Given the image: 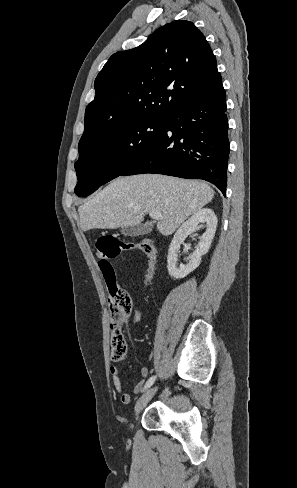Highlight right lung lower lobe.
Returning a JSON list of instances; mask_svg holds the SVG:
<instances>
[{"label": "right lung lower lobe", "instance_id": "obj_1", "mask_svg": "<svg viewBox=\"0 0 297 488\" xmlns=\"http://www.w3.org/2000/svg\"><path fill=\"white\" fill-rule=\"evenodd\" d=\"M225 90L220 81L167 118L160 136L120 176L158 173L215 184L226 195L229 156Z\"/></svg>", "mask_w": 297, "mask_h": 488}]
</instances>
